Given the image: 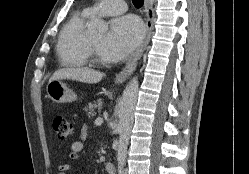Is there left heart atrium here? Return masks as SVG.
I'll use <instances>...</instances> for the list:
<instances>
[{"label":"left heart atrium","mask_w":249,"mask_h":174,"mask_svg":"<svg viewBox=\"0 0 249 174\" xmlns=\"http://www.w3.org/2000/svg\"><path fill=\"white\" fill-rule=\"evenodd\" d=\"M143 36V27L135 16H123L115 19L111 31L104 42L107 60L124 59L137 45Z\"/></svg>","instance_id":"1"}]
</instances>
